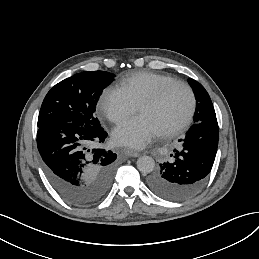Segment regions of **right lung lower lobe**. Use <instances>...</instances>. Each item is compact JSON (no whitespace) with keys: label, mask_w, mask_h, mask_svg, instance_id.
I'll return each instance as SVG.
<instances>
[{"label":"right lung lower lobe","mask_w":259,"mask_h":259,"mask_svg":"<svg viewBox=\"0 0 259 259\" xmlns=\"http://www.w3.org/2000/svg\"><path fill=\"white\" fill-rule=\"evenodd\" d=\"M107 132L72 122H56L38 129L37 147L43 168L56 192L74 206L100 201L113 181L117 155L100 148Z\"/></svg>","instance_id":"right-lung-lower-lobe-1"}]
</instances>
